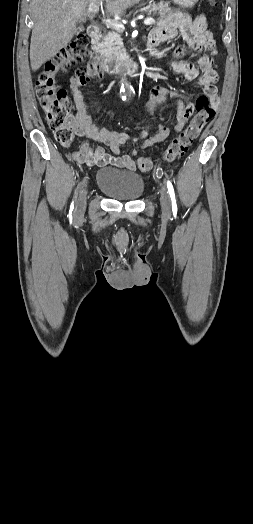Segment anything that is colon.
Wrapping results in <instances>:
<instances>
[{"label": "colon", "instance_id": "colon-1", "mask_svg": "<svg viewBox=\"0 0 253 524\" xmlns=\"http://www.w3.org/2000/svg\"><path fill=\"white\" fill-rule=\"evenodd\" d=\"M88 56L89 40L87 36L79 35L48 61L36 77L35 89L48 127L54 133L57 142L65 148L73 144L76 128L71 115L68 93L78 97L82 93L81 89L89 90L92 86H97L100 79L104 77V70L98 66L97 61H88L87 67L78 68L75 74L70 76L67 90L57 84L56 76ZM193 108H195L193 119L164 151L161 157L162 163H171L183 156L215 114L208 98L204 95L196 100ZM153 167V160L149 158L139 160V168L142 171L151 170Z\"/></svg>", "mask_w": 253, "mask_h": 524}]
</instances>
